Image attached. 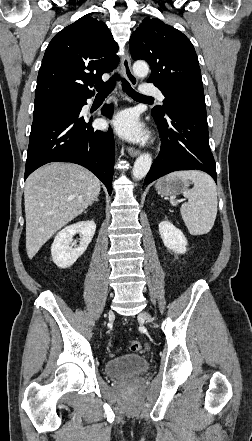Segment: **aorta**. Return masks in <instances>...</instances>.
I'll return each mask as SVG.
<instances>
[{
    "instance_id": "aorta-1",
    "label": "aorta",
    "mask_w": 252,
    "mask_h": 441,
    "mask_svg": "<svg viewBox=\"0 0 252 441\" xmlns=\"http://www.w3.org/2000/svg\"><path fill=\"white\" fill-rule=\"evenodd\" d=\"M133 72L137 77L143 78L149 72V66L144 61H137L133 65ZM152 165V157L148 153L141 154L135 161L132 170L134 180H141L146 176Z\"/></svg>"
}]
</instances>
